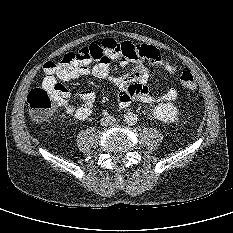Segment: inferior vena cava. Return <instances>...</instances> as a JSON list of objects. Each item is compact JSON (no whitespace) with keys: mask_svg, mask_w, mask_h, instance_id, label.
I'll return each instance as SVG.
<instances>
[{"mask_svg":"<svg viewBox=\"0 0 233 233\" xmlns=\"http://www.w3.org/2000/svg\"><path fill=\"white\" fill-rule=\"evenodd\" d=\"M100 122L102 126L108 127V126L113 125L116 122V119L111 115H107V116H104L100 120Z\"/></svg>","mask_w":233,"mask_h":233,"instance_id":"602c4592","label":"inferior vena cava"}]
</instances>
